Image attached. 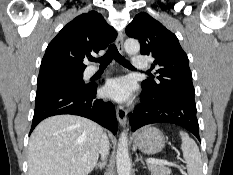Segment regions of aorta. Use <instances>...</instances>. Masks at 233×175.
Returning a JSON list of instances; mask_svg holds the SVG:
<instances>
[{"mask_svg":"<svg viewBox=\"0 0 233 175\" xmlns=\"http://www.w3.org/2000/svg\"><path fill=\"white\" fill-rule=\"evenodd\" d=\"M125 51L129 55H135L140 51V44L135 39H127L124 43ZM116 165L118 175H130L131 163L128 153V137L127 132H122L119 138Z\"/></svg>","mask_w":233,"mask_h":175,"instance_id":"1","label":"aorta"}]
</instances>
